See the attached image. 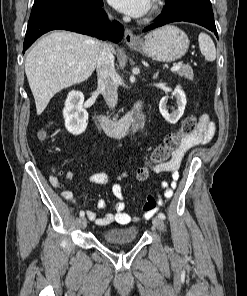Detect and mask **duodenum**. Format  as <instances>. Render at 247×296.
<instances>
[{
    "label": "duodenum",
    "mask_w": 247,
    "mask_h": 296,
    "mask_svg": "<svg viewBox=\"0 0 247 296\" xmlns=\"http://www.w3.org/2000/svg\"><path fill=\"white\" fill-rule=\"evenodd\" d=\"M143 109V102L136 103L133 112L121 119L115 120L104 114H97V120L114 137H124L130 134L135 125V116L140 114Z\"/></svg>",
    "instance_id": "obj_1"
}]
</instances>
